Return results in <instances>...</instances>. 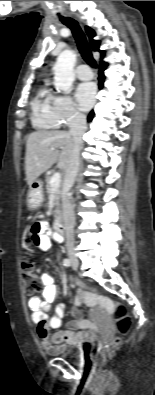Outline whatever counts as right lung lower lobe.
Segmentation results:
<instances>
[{
	"label": "right lung lower lobe",
	"mask_w": 155,
	"mask_h": 395,
	"mask_svg": "<svg viewBox=\"0 0 155 395\" xmlns=\"http://www.w3.org/2000/svg\"><path fill=\"white\" fill-rule=\"evenodd\" d=\"M106 67H107V63H105V62H101L100 63V67H99V77H98V80H99V88L101 89L102 87H103V84H104V80H105V76H104V74H103V71L106 69ZM93 117H94V111L92 110L90 113H89V115H88V122H91L92 121V119H93Z\"/></svg>",
	"instance_id": "obj_1"
}]
</instances>
